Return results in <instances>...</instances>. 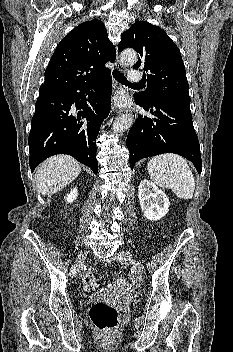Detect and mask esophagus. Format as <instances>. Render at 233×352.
<instances>
[{
	"mask_svg": "<svg viewBox=\"0 0 233 352\" xmlns=\"http://www.w3.org/2000/svg\"><path fill=\"white\" fill-rule=\"evenodd\" d=\"M115 66H116V68H117L118 70H120V71H123V70H124V66H123V64L120 62V60L118 59V57H117V59H116V61H115ZM123 113H131V110H130V109L120 108V109L118 110V114H123Z\"/></svg>",
	"mask_w": 233,
	"mask_h": 352,
	"instance_id": "1",
	"label": "esophagus"
}]
</instances>
